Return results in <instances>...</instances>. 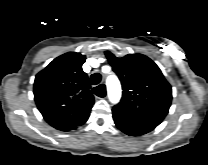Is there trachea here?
<instances>
[{"label":"trachea","instance_id":"3493384b","mask_svg":"<svg viewBox=\"0 0 208 165\" xmlns=\"http://www.w3.org/2000/svg\"><path fill=\"white\" fill-rule=\"evenodd\" d=\"M101 81V75L99 73H94L91 75L90 82L92 85H97ZM93 93L96 94L99 97L105 96V88L100 85L98 87L93 88Z\"/></svg>","mask_w":208,"mask_h":165}]
</instances>
